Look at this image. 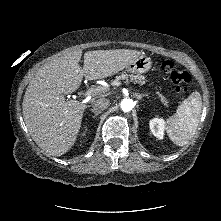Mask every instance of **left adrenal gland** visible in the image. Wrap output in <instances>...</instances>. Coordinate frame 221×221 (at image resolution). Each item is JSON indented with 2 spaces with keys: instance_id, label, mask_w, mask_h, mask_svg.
Masks as SVG:
<instances>
[{
  "instance_id": "1",
  "label": "left adrenal gland",
  "mask_w": 221,
  "mask_h": 221,
  "mask_svg": "<svg viewBox=\"0 0 221 221\" xmlns=\"http://www.w3.org/2000/svg\"><path fill=\"white\" fill-rule=\"evenodd\" d=\"M135 95L138 100H141L143 97L148 96V94H140V93H136Z\"/></svg>"
}]
</instances>
